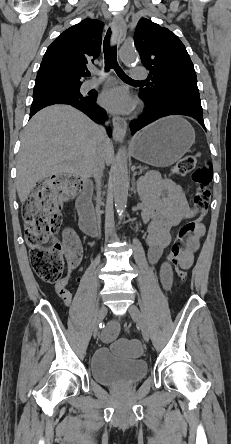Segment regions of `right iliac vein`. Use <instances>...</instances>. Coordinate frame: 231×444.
<instances>
[{"label": "right iliac vein", "instance_id": "63e3f726", "mask_svg": "<svg viewBox=\"0 0 231 444\" xmlns=\"http://www.w3.org/2000/svg\"><path fill=\"white\" fill-rule=\"evenodd\" d=\"M106 314H107V308L105 306H102L98 312L97 318H96L95 323L93 325V337L94 338L97 336L100 323L103 321Z\"/></svg>", "mask_w": 231, "mask_h": 444}]
</instances>
